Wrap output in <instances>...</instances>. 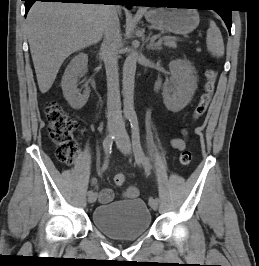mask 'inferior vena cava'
<instances>
[{"label": "inferior vena cava", "instance_id": "1", "mask_svg": "<svg viewBox=\"0 0 259 266\" xmlns=\"http://www.w3.org/2000/svg\"><path fill=\"white\" fill-rule=\"evenodd\" d=\"M118 12V6H110L104 26L102 50L107 75V117L110 122L119 124L123 119L118 74V50L122 42Z\"/></svg>", "mask_w": 259, "mask_h": 266}]
</instances>
